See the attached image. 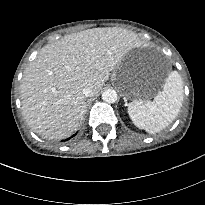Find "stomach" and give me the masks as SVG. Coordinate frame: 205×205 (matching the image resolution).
Instances as JSON below:
<instances>
[{"label":"stomach","instance_id":"1","mask_svg":"<svg viewBox=\"0 0 205 205\" xmlns=\"http://www.w3.org/2000/svg\"><path fill=\"white\" fill-rule=\"evenodd\" d=\"M140 64L127 57L113 71L112 81L129 99H148L154 96L161 88V84H153L143 80Z\"/></svg>","mask_w":205,"mask_h":205}]
</instances>
